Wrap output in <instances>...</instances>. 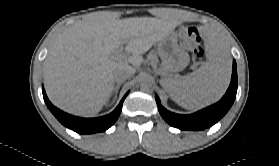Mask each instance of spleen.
Here are the masks:
<instances>
[{"mask_svg":"<svg viewBox=\"0 0 279 166\" xmlns=\"http://www.w3.org/2000/svg\"><path fill=\"white\" fill-rule=\"evenodd\" d=\"M207 61L182 79L165 78L161 85L171 99L187 109H197L219 100L225 93L231 75V59L223 43L203 30Z\"/></svg>","mask_w":279,"mask_h":166,"instance_id":"1","label":"spleen"}]
</instances>
